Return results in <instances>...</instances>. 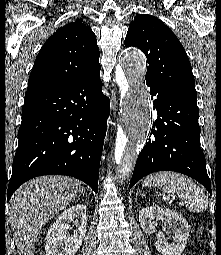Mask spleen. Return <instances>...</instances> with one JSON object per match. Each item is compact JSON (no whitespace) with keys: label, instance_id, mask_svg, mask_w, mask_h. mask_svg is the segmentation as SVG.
Returning <instances> with one entry per match:
<instances>
[{"label":"spleen","instance_id":"spleen-1","mask_svg":"<svg viewBox=\"0 0 221 255\" xmlns=\"http://www.w3.org/2000/svg\"><path fill=\"white\" fill-rule=\"evenodd\" d=\"M144 187H158L174 194L189 204L188 209L194 213L203 212L208 206L204 192L189 178L175 172H158L147 176Z\"/></svg>","mask_w":221,"mask_h":255}]
</instances>
